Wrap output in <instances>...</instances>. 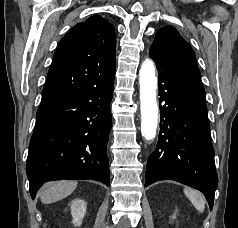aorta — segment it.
<instances>
[{
	"label": "aorta",
	"instance_id": "aorta-1",
	"mask_svg": "<svg viewBox=\"0 0 238 228\" xmlns=\"http://www.w3.org/2000/svg\"><path fill=\"white\" fill-rule=\"evenodd\" d=\"M141 132L146 140L155 138L158 123L155 64L146 59L140 68Z\"/></svg>",
	"mask_w": 238,
	"mask_h": 228
}]
</instances>
